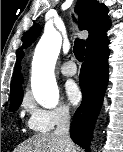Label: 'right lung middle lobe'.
<instances>
[{
	"mask_svg": "<svg viewBox=\"0 0 123 152\" xmlns=\"http://www.w3.org/2000/svg\"><path fill=\"white\" fill-rule=\"evenodd\" d=\"M22 97H23V90H20L11 95V101L9 106L10 111H15L19 108L22 102Z\"/></svg>",
	"mask_w": 123,
	"mask_h": 152,
	"instance_id": "right-lung-middle-lobe-1",
	"label": "right lung middle lobe"
}]
</instances>
